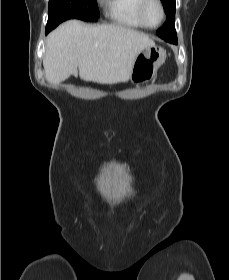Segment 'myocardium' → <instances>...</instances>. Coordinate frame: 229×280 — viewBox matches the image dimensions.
<instances>
[{
    "label": "myocardium",
    "instance_id": "myocardium-1",
    "mask_svg": "<svg viewBox=\"0 0 229 280\" xmlns=\"http://www.w3.org/2000/svg\"><path fill=\"white\" fill-rule=\"evenodd\" d=\"M151 4H156L159 7L160 12H161L160 20H159L158 24H156V25H150V24H148V22L146 20V10L149 7V5H151ZM138 17L145 28H148V29L157 28L158 26H160L162 24V22L164 21V18H165V9H164L163 3L161 2V0H142V3L138 9Z\"/></svg>",
    "mask_w": 229,
    "mask_h": 280
}]
</instances>
